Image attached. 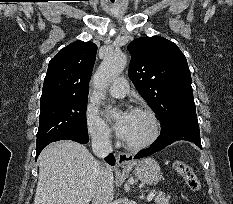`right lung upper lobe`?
<instances>
[{"mask_svg":"<svg viewBox=\"0 0 233 204\" xmlns=\"http://www.w3.org/2000/svg\"><path fill=\"white\" fill-rule=\"evenodd\" d=\"M97 46L78 40L60 50L49 62L41 102L52 99L88 98V83Z\"/></svg>","mask_w":233,"mask_h":204,"instance_id":"1","label":"right lung upper lobe"}]
</instances>
